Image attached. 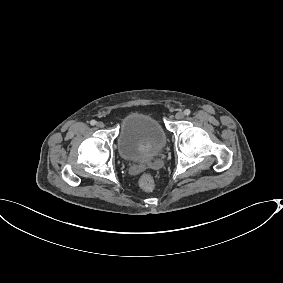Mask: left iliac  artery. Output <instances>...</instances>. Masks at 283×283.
<instances>
[{"label":"left iliac artery","instance_id":"1","mask_svg":"<svg viewBox=\"0 0 283 283\" xmlns=\"http://www.w3.org/2000/svg\"><path fill=\"white\" fill-rule=\"evenodd\" d=\"M190 113H191V111H190L189 109H185V110H184V114H185V115H190Z\"/></svg>","mask_w":283,"mask_h":283}]
</instances>
